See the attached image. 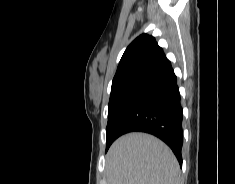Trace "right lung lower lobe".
I'll use <instances>...</instances> for the list:
<instances>
[{
    "mask_svg": "<svg viewBox=\"0 0 235 184\" xmlns=\"http://www.w3.org/2000/svg\"><path fill=\"white\" fill-rule=\"evenodd\" d=\"M182 107L177 78L168 59L132 84L110 123L114 138L145 132L165 142L182 166Z\"/></svg>",
    "mask_w": 235,
    "mask_h": 184,
    "instance_id": "right-lung-lower-lobe-1",
    "label": "right lung lower lobe"
}]
</instances>
